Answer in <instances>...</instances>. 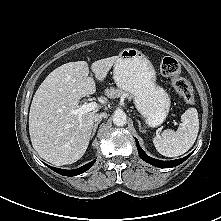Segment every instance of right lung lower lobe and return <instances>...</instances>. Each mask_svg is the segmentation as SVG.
<instances>
[{
  "instance_id": "1",
  "label": "right lung lower lobe",
  "mask_w": 221,
  "mask_h": 221,
  "mask_svg": "<svg viewBox=\"0 0 221 221\" xmlns=\"http://www.w3.org/2000/svg\"><path fill=\"white\" fill-rule=\"evenodd\" d=\"M96 160L78 168V169H74V170H64V169H58L55 167H51L49 165H47L50 169H52L53 171H55L56 173L63 175V176H76L79 175L85 171H87L94 163Z\"/></svg>"
}]
</instances>
